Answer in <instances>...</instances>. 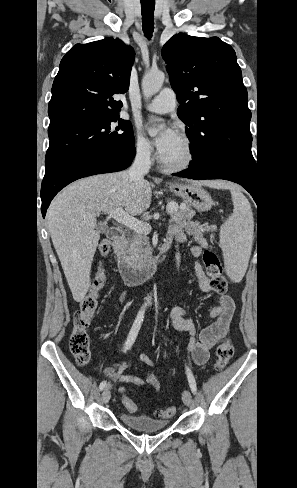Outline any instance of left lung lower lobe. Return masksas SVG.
I'll return each mask as SVG.
<instances>
[{
    "label": "left lung lower lobe",
    "instance_id": "0a47b994",
    "mask_svg": "<svg viewBox=\"0 0 297 488\" xmlns=\"http://www.w3.org/2000/svg\"><path fill=\"white\" fill-rule=\"evenodd\" d=\"M173 175L189 179H225L244 187L258 199L256 165L230 157H214L197 164H190L187 170Z\"/></svg>",
    "mask_w": 297,
    "mask_h": 488
}]
</instances>
